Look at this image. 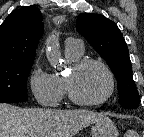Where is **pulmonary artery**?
<instances>
[{
    "label": "pulmonary artery",
    "instance_id": "obj_1",
    "mask_svg": "<svg viewBox=\"0 0 144 137\" xmlns=\"http://www.w3.org/2000/svg\"><path fill=\"white\" fill-rule=\"evenodd\" d=\"M66 47L73 48L74 50H76L78 52H82L83 51L82 42L80 40L74 39V38H68L66 40Z\"/></svg>",
    "mask_w": 144,
    "mask_h": 137
}]
</instances>
